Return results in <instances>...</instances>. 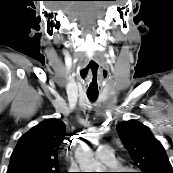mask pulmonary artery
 <instances>
[{"mask_svg": "<svg viewBox=\"0 0 173 173\" xmlns=\"http://www.w3.org/2000/svg\"><path fill=\"white\" fill-rule=\"evenodd\" d=\"M95 158L109 167L115 165L114 150L108 145L100 146L95 152Z\"/></svg>", "mask_w": 173, "mask_h": 173, "instance_id": "pulmonary-artery-1", "label": "pulmonary artery"}]
</instances>
